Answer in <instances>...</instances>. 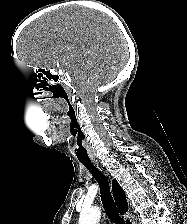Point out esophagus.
<instances>
[{
  "instance_id": "34e87169",
  "label": "esophagus",
  "mask_w": 187,
  "mask_h": 224,
  "mask_svg": "<svg viewBox=\"0 0 187 224\" xmlns=\"http://www.w3.org/2000/svg\"><path fill=\"white\" fill-rule=\"evenodd\" d=\"M94 164H95L98 168H101V169L104 171V173H105L106 175H109L108 171H107L106 169H104V168L102 167V165H100L98 162H94Z\"/></svg>"
}]
</instances>
